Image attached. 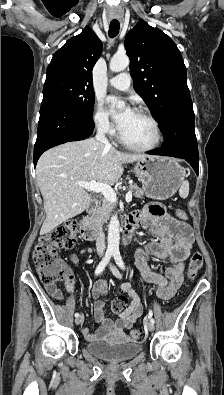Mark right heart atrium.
<instances>
[{"mask_svg":"<svg viewBox=\"0 0 224 395\" xmlns=\"http://www.w3.org/2000/svg\"><path fill=\"white\" fill-rule=\"evenodd\" d=\"M93 124L98 132L104 135H112L114 127L101 103L97 102L94 106L92 115Z\"/></svg>","mask_w":224,"mask_h":395,"instance_id":"1","label":"right heart atrium"}]
</instances>
